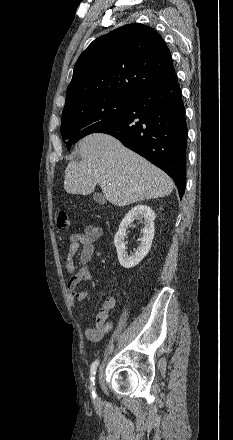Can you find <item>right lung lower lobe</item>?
I'll return each instance as SVG.
<instances>
[{
	"label": "right lung lower lobe",
	"instance_id": "98d812e1",
	"mask_svg": "<svg viewBox=\"0 0 233 440\" xmlns=\"http://www.w3.org/2000/svg\"><path fill=\"white\" fill-rule=\"evenodd\" d=\"M97 132L122 144L164 170L180 198L186 184L187 125L176 73L136 92L120 117Z\"/></svg>",
	"mask_w": 233,
	"mask_h": 440
}]
</instances>
